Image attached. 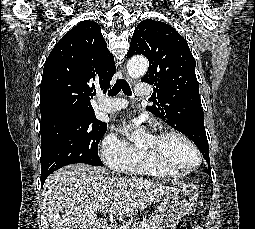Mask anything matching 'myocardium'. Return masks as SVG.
Segmentation results:
<instances>
[{
  "label": "myocardium",
  "mask_w": 255,
  "mask_h": 229,
  "mask_svg": "<svg viewBox=\"0 0 255 229\" xmlns=\"http://www.w3.org/2000/svg\"><path fill=\"white\" fill-rule=\"evenodd\" d=\"M155 136H157V137L177 136V137L181 138L182 140H184L187 144H189L197 156V162L193 166H190L187 168H182V169H177V168H171V167L163 164L160 160H157L152 154H150L146 150L139 147V150L144 154L146 159L149 162H151L153 165H155L157 168L177 177V176H182V175L188 174L190 172H193L194 170L198 169L201 166L202 160H203L202 153H201L200 149L198 148V146L195 144V142L189 136H187L185 133L172 129V130L160 131Z\"/></svg>",
  "instance_id": "myocardium-1"
}]
</instances>
